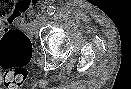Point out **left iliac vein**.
I'll return each mask as SVG.
<instances>
[{
    "instance_id": "left-iliac-vein-1",
    "label": "left iliac vein",
    "mask_w": 131,
    "mask_h": 89,
    "mask_svg": "<svg viewBox=\"0 0 131 89\" xmlns=\"http://www.w3.org/2000/svg\"><path fill=\"white\" fill-rule=\"evenodd\" d=\"M46 21H47V15L44 14V15L40 18V20H39V25L44 24Z\"/></svg>"
}]
</instances>
